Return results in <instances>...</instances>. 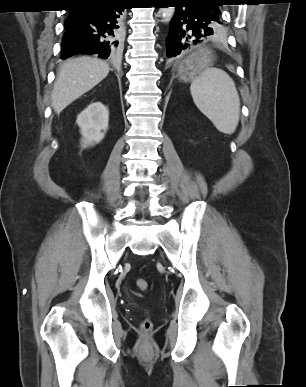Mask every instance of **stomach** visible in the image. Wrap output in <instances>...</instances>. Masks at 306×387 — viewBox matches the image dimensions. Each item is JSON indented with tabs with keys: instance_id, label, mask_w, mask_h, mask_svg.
Listing matches in <instances>:
<instances>
[{
	"instance_id": "0dacf381",
	"label": "stomach",
	"mask_w": 306,
	"mask_h": 387,
	"mask_svg": "<svg viewBox=\"0 0 306 387\" xmlns=\"http://www.w3.org/2000/svg\"><path fill=\"white\" fill-rule=\"evenodd\" d=\"M211 60L210 52L206 49H201L193 58H188L185 63L178 68V75L181 81H192L195 76L205 68Z\"/></svg>"
}]
</instances>
